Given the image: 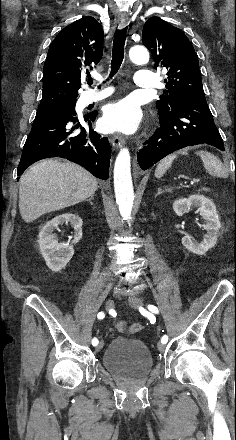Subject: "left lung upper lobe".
<instances>
[{
  "label": "left lung upper lobe",
  "instance_id": "left-lung-upper-lobe-1",
  "mask_svg": "<svg viewBox=\"0 0 236 440\" xmlns=\"http://www.w3.org/2000/svg\"><path fill=\"white\" fill-rule=\"evenodd\" d=\"M142 39L155 68L167 70V90L156 102L159 116L170 115L186 98L204 96L197 54L181 30L154 16L144 24Z\"/></svg>",
  "mask_w": 236,
  "mask_h": 440
}]
</instances>
